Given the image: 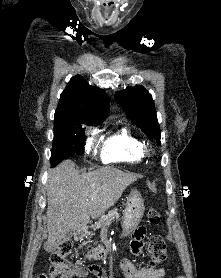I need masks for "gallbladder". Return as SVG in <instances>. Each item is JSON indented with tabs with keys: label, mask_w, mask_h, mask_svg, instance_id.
I'll return each mask as SVG.
<instances>
[{
	"label": "gallbladder",
	"mask_w": 221,
	"mask_h": 278,
	"mask_svg": "<svg viewBox=\"0 0 221 278\" xmlns=\"http://www.w3.org/2000/svg\"><path fill=\"white\" fill-rule=\"evenodd\" d=\"M73 236V231H69L66 236L62 239V241H67Z\"/></svg>",
	"instance_id": "bac80fb5"
}]
</instances>
